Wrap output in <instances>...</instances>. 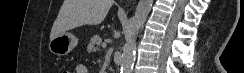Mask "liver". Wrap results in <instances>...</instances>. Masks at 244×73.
<instances>
[{
    "label": "liver",
    "instance_id": "liver-1",
    "mask_svg": "<svg viewBox=\"0 0 244 73\" xmlns=\"http://www.w3.org/2000/svg\"><path fill=\"white\" fill-rule=\"evenodd\" d=\"M112 5L113 0H64L50 40L76 27L100 24Z\"/></svg>",
    "mask_w": 244,
    "mask_h": 73
}]
</instances>
